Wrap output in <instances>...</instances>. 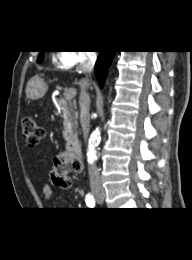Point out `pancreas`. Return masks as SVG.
<instances>
[{
  "mask_svg": "<svg viewBox=\"0 0 192 260\" xmlns=\"http://www.w3.org/2000/svg\"><path fill=\"white\" fill-rule=\"evenodd\" d=\"M58 104L61 107L60 112L62 113V118H63V126H64L63 134L65 139L68 140L69 128L70 127L76 128L78 125V114L72 108V106L69 105L66 99H59Z\"/></svg>",
  "mask_w": 192,
  "mask_h": 260,
  "instance_id": "obj_1",
  "label": "pancreas"
}]
</instances>
